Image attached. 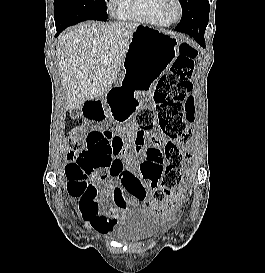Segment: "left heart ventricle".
Returning <instances> with one entry per match:
<instances>
[{
    "label": "left heart ventricle",
    "mask_w": 265,
    "mask_h": 273,
    "mask_svg": "<svg viewBox=\"0 0 265 273\" xmlns=\"http://www.w3.org/2000/svg\"><path fill=\"white\" fill-rule=\"evenodd\" d=\"M168 13L171 17H175L178 13V8L175 3H171L168 7Z\"/></svg>",
    "instance_id": "1"
}]
</instances>
